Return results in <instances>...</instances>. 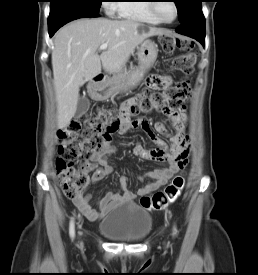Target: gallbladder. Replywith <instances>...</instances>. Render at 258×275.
Instances as JSON below:
<instances>
[{
    "mask_svg": "<svg viewBox=\"0 0 258 275\" xmlns=\"http://www.w3.org/2000/svg\"><path fill=\"white\" fill-rule=\"evenodd\" d=\"M90 107V101L85 96H80L78 98L77 107H76V116L81 117L85 114Z\"/></svg>",
    "mask_w": 258,
    "mask_h": 275,
    "instance_id": "1",
    "label": "gallbladder"
}]
</instances>
